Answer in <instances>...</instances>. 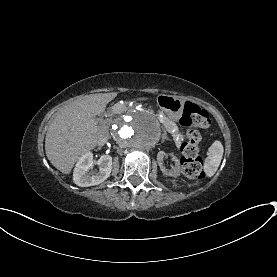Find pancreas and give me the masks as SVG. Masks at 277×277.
<instances>
[{"instance_id":"pancreas-1","label":"pancreas","mask_w":277,"mask_h":277,"mask_svg":"<svg viewBox=\"0 0 277 277\" xmlns=\"http://www.w3.org/2000/svg\"><path fill=\"white\" fill-rule=\"evenodd\" d=\"M158 124L159 125H166V130L169 132L170 136H172V144L175 147H180L183 144V137L180 135V129L177 127L176 123L169 122L166 116H159L158 117ZM168 121V122H167Z\"/></svg>"}]
</instances>
